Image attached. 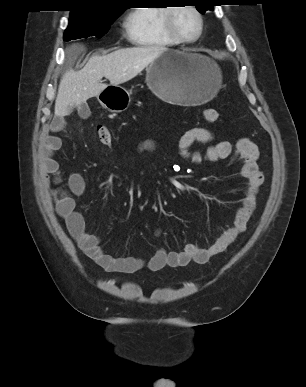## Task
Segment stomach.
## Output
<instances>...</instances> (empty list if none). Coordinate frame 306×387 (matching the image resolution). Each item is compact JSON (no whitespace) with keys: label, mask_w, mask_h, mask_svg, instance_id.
<instances>
[{"label":"stomach","mask_w":306,"mask_h":387,"mask_svg":"<svg viewBox=\"0 0 306 387\" xmlns=\"http://www.w3.org/2000/svg\"><path fill=\"white\" fill-rule=\"evenodd\" d=\"M149 88L170 108L197 106L211 100L221 87L222 73L210 58L180 50H166L146 69ZM111 112H121L130 104L129 92L110 85L97 96Z\"/></svg>","instance_id":"stomach-1"}]
</instances>
